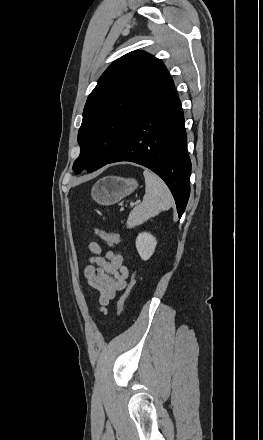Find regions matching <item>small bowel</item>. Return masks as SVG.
Instances as JSON below:
<instances>
[{"mask_svg": "<svg viewBox=\"0 0 263 440\" xmlns=\"http://www.w3.org/2000/svg\"><path fill=\"white\" fill-rule=\"evenodd\" d=\"M94 254L84 270L85 280L99 293V301L105 307L118 292L125 289L129 272L120 253L103 249L97 242L89 244Z\"/></svg>", "mask_w": 263, "mask_h": 440, "instance_id": "small-bowel-1", "label": "small bowel"}]
</instances>
